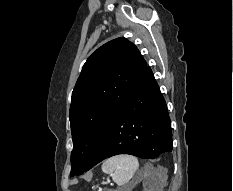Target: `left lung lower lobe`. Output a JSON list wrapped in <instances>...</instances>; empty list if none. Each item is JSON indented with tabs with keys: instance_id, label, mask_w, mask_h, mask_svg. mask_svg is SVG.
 <instances>
[{
	"instance_id": "obj_1",
	"label": "left lung lower lobe",
	"mask_w": 233,
	"mask_h": 191,
	"mask_svg": "<svg viewBox=\"0 0 233 191\" xmlns=\"http://www.w3.org/2000/svg\"><path fill=\"white\" fill-rule=\"evenodd\" d=\"M172 152V133L166 102L146 66L111 122L87 166L118 154L153 159Z\"/></svg>"
}]
</instances>
